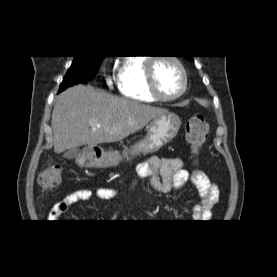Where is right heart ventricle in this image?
<instances>
[{
  "label": "right heart ventricle",
  "mask_w": 277,
  "mask_h": 277,
  "mask_svg": "<svg viewBox=\"0 0 277 277\" xmlns=\"http://www.w3.org/2000/svg\"><path fill=\"white\" fill-rule=\"evenodd\" d=\"M145 56L124 58L118 70V86L122 96L139 102L158 101L148 90Z\"/></svg>",
  "instance_id": "1"
}]
</instances>
